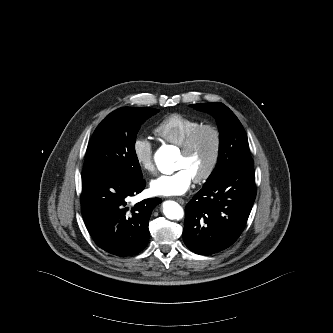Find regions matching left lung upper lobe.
Returning <instances> with one entry per match:
<instances>
[{"mask_svg":"<svg viewBox=\"0 0 333 333\" xmlns=\"http://www.w3.org/2000/svg\"><path fill=\"white\" fill-rule=\"evenodd\" d=\"M191 106L194 109L212 114L216 118L220 129L217 165L205 184L217 179L228 170L253 165L245 130L227 106L220 102L200 103Z\"/></svg>","mask_w":333,"mask_h":333,"instance_id":"left-lung-upper-lobe-1","label":"left lung upper lobe"}]
</instances>
